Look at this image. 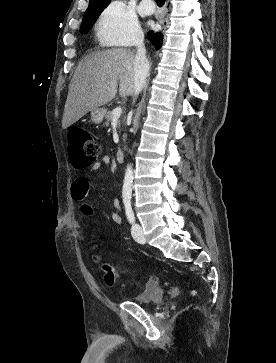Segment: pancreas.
Masks as SVG:
<instances>
[{
	"instance_id": "cf45deb5",
	"label": "pancreas",
	"mask_w": 276,
	"mask_h": 363,
	"mask_svg": "<svg viewBox=\"0 0 276 363\" xmlns=\"http://www.w3.org/2000/svg\"><path fill=\"white\" fill-rule=\"evenodd\" d=\"M113 119V115L112 112H108V114L106 115V122L104 123L105 126H109L110 121Z\"/></svg>"
}]
</instances>
